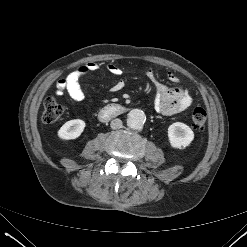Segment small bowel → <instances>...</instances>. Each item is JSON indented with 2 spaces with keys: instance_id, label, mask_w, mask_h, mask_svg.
Returning a JSON list of instances; mask_svg holds the SVG:
<instances>
[{
  "instance_id": "c3829d8e",
  "label": "small bowel",
  "mask_w": 247,
  "mask_h": 247,
  "mask_svg": "<svg viewBox=\"0 0 247 247\" xmlns=\"http://www.w3.org/2000/svg\"><path fill=\"white\" fill-rule=\"evenodd\" d=\"M98 69L99 64L96 62H89L78 67L66 78L58 81L55 88L56 94L61 96L66 92L74 101H82L84 93L80 86V80ZM108 70L115 76L119 77L122 75V70L115 64H109ZM146 75L155 85L154 107L158 113L166 116L175 115L186 110L192 104V97L187 89L181 86H167L158 79L155 71L152 69L147 70ZM168 79L174 84L178 82V78L172 72L168 73ZM124 86L125 81L122 78H118L111 86V91L119 92Z\"/></svg>"
}]
</instances>
